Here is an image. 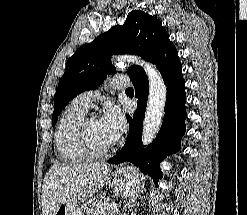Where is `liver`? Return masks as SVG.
<instances>
[{"mask_svg": "<svg viewBox=\"0 0 247 215\" xmlns=\"http://www.w3.org/2000/svg\"><path fill=\"white\" fill-rule=\"evenodd\" d=\"M105 163L54 164L42 186V213L53 215L65 201L85 199L98 192L109 178Z\"/></svg>", "mask_w": 247, "mask_h": 215, "instance_id": "6515ba94", "label": "liver"}]
</instances>
